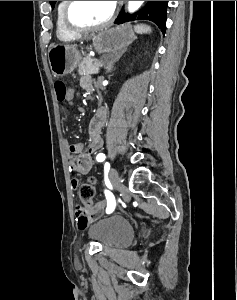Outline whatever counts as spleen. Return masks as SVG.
I'll use <instances>...</instances> for the list:
<instances>
[{
	"mask_svg": "<svg viewBox=\"0 0 237 300\" xmlns=\"http://www.w3.org/2000/svg\"><path fill=\"white\" fill-rule=\"evenodd\" d=\"M134 31L138 33V35H148V33H152V29L148 27V25H135Z\"/></svg>",
	"mask_w": 237,
	"mask_h": 300,
	"instance_id": "3e777b00",
	"label": "spleen"
}]
</instances>
